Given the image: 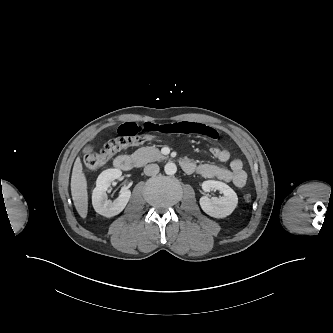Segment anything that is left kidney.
I'll return each mask as SVG.
<instances>
[{
	"mask_svg": "<svg viewBox=\"0 0 333 333\" xmlns=\"http://www.w3.org/2000/svg\"><path fill=\"white\" fill-rule=\"evenodd\" d=\"M202 189L205 192L215 189L223 193V196L219 198H209L208 196L200 198V206L207 215L214 218H225L237 207V194L227 184L221 181L207 180L202 183Z\"/></svg>",
	"mask_w": 333,
	"mask_h": 333,
	"instance_id": "left-kidney-1",
	"label": "left kidney"
}]
</instances>
